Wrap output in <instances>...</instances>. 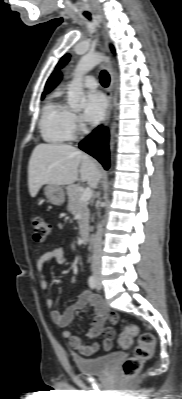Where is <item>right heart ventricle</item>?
<instances>
[{"label": "right heart ventricle", "mask_w": 182, "mask_h": 399, "mask_svg": "<svg viewBox=\"0 0 182 399\" xmlns=\"http://www.w3.org/2000/svg\"><path fill=\"white\" fill-rule=\"evenodd\" d=\"M70 109L58 98L50 99L43 107L40 130L45 141L63 143L72 139Z\"/></svg>", "instance_id": "e07e8e85"}]
</instances>
